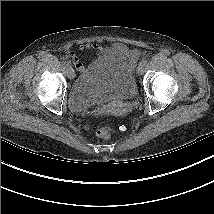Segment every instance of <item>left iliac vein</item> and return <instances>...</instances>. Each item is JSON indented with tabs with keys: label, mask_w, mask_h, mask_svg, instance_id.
<instances>
[{
	"label": "left iliac vein",
	"mask_w": 214,
	"mask_h": 214,
	"mask_svg": "<svg viewBox=\"0 0 214 214\" xmlns=\"http://www.w3.org/2000/svg\"><path fill=\"white\" fill-rule=\"evenodd\" d=\"M144 71V64L143 63H140L136 69V72L138 75L142 74Z\"/></svg>",
	"instance_id": "left-iliac-vein-1"
}]
</instances>
